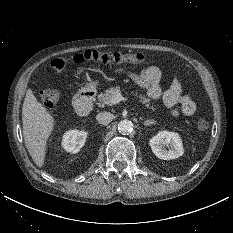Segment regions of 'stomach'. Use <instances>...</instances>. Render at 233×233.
<instances>
[{"instance_id":"stomach-1","label":"stomach","mask_w":233,"mask_h":233,"mask_svg":"<svg viewBox=\"0 0 233 233\" xmlns=\"http://www.w3.org/2000/svg\"><path fill=\"white\" fill-rule=\"evenodd\" d=\"M96 84H97L96 81H95V82H92V83L88 84L87 88H88V89H93V88L96 86Z\"/></svg>"}]
</instances>
